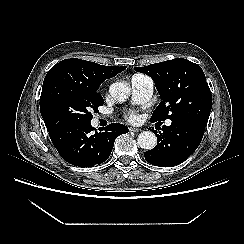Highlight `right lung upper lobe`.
Returning <instances> with one entry per match:
<instances>
[{
    "label": "right lung upper lobe",
    "instance_id": "right-lung-upper-lobe-1",
    "mask_svg": "<svg viewBox=\"0 0 244 244\" xmlns=\"http://www.w3.org/2000/svg\"><path fill=\"white\" fill-rule=\"evenodd\" d=\"M125 69L126 66H104L94 62L72 58L65 59L54 65L48 71L44 80L58 76L73 86L97 96L100 95L97 93V90L104 80L116 76Z\"/></svg>",
    "mask_w": 244,
    "mask_h": 244
}]
</instances>
